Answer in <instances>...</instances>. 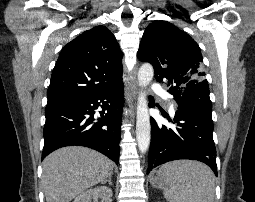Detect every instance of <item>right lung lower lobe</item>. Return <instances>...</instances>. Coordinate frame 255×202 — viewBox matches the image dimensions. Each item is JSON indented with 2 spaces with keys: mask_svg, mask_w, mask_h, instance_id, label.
I'll return each mask as SVG.
<instances>
[{
  "mask_svg": "<svg viewBox=\"0 0 255 202\" xmlns=\"http://www.w3.org/2000/svg\"><path fill=\"white\" fill-rule=\"evenodd\" d=\"M123 83L95 94L47 104L42 159L70 145L95 149L119 162ZM102 108L94 122L95 109ZM106 112V113H105Z\"/></svg>",
  "mask_w": 255,
  "mask_h": 202,
  "instance_id": "1",
  "label": "right lung lower lobe"
}]
</instances>
